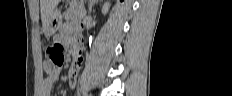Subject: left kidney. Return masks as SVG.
<instances>
[{"instance_id": "5707ae66", "label": "left kidney", "mask_w": 232, "mask_h": 96, "mask_svg": "<svg viewBox=\"0 0 232 96\" xmlns=\"http://www.w3.org/2000/svg\"><path fill=\"white\" fill-rule=\"evenodd\" d=\"M109 7H110V4L109 3H105L104 6H103V8H102V12L104 14H106L108 12Z\"/></svg>"}]
</instances>
